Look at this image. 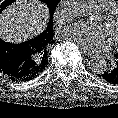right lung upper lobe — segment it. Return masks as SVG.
<instances>
[{
    "instance_id": "right-lung-upper-lobe-1",
    "label": "right lung upper lobe",
    "mask_w": 118,
    "mask_h": 118,
    "mask_svg": "<svg viewBox=\"0 0 118 118\" xmlns=\"http://www.w3.org/2000/svg\"><path fill=\"white\" fill-rule=\"evenodd\" d=\"M53 20L50 19L47 29L40 35L31 40L36 53V70L42 72L47 66V56L51 44L53 43Z\"/></svg>"
}]
</instances>
